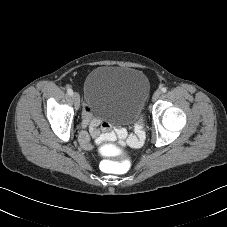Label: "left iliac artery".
Here are the masks:
<instances>
[{
	"mask_svg": "<svg viewBox=\"0 0 227 227\" xmlns=\"http://www.w3.org/2000/svg\"><path fill=\"white\" fill-rule=\"evenodd\" d=\"M161 91H162L163 93H165V92L167 91V88H166V87H163V88L161 89Z\"/></svg>",
	"mask_w": 227,
	"mask_h": 227,
	"instance_id": "1",
	"label": "left iliac artery"
}]
</instances>
